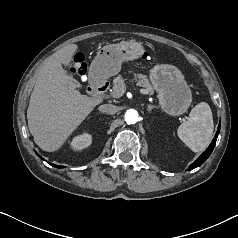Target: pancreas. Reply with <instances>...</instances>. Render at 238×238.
Here are the masks:
<instances>
[{
    "label": "pancreas",
    "instance_id": "pancreas-1",
    "mask_svg": "<svg viewBox=\"0 0 238 238\" xmlns=\"http://www.w3.org/2000/svg\"><path fill=\"white\" fill-rule=\"evenodd\" d=\"M135 79L138 85L145 88L149 94H153V88L148 80V78L143 74H135ZM125 86L124 78L119 75L113 80V90L111 91V96L119 98L123 94V87Z\"/></svg>",
    "mask_w": 238,
    "mask_h": 238
}]
</instances>
